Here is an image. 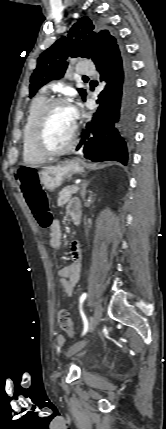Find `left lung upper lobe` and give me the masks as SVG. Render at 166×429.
I'll return each instance as SVG.
<instances>
[{
	"label": "left lung upper lobe",
	"instance_id": "left-lung-upper-lobe-1",
	"mask_svg": "<svg viewBox=\"0 0 166 429\" xmlns=\"http://www.w3.org/2000/svg\"><path fill=\"white\" fill-rule=\"evenodd\" d=\"M117 38L106 29H99L87 17L73 24L68 34L57 40L45 50L37 60V67L31 75L29 92L33 97L40 87L52 79L61 78L71 58L82 57L94 59L99 42L109 44ZM85 99L86 90L78 89Z\"/></svg>",
	"mask_w": 166,
	"mask_h": 429
}]
</instances>
